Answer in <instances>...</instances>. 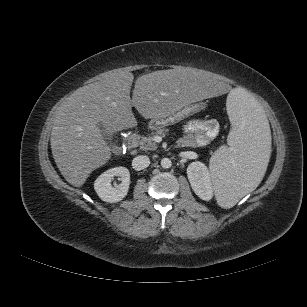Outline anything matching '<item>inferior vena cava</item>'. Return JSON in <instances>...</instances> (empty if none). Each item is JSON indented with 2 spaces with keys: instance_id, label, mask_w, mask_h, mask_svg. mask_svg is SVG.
<instances>
[{
  "instance_id": "1",
  "label": "inferior vena cava",
  "mask_w": 307,
  "mask_h": 307,
  "mask_svg": "<svg viewBox=\"0 0 307 307\" xmlns=\"http://www.w3.org/2000/svg\"><path fill=\"white\" fill-rule=\"evenodd\" d=\"M149 164H150V159L146 155L136 156L132 160V167L137 171H140V170L147 168L149 166Z\"/></svg>"
}]
</instances>
